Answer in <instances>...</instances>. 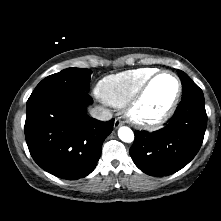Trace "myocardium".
Segmentation results:
<instances>
[{"mask_svg": "<svg viewBox=\"0 0 221 221\" xmlns=\"http://www.w3.org/2000/svg\"><path fill=\"white\" fill-rule=\"evenodd\" d=\"M170 75L176 81L177 89L176 93L168 105V107L159 115L155 117H145L139 114V107L144 100L149 88L153 82L161 75ZM182 94V83L179 77L169 70H158L152 74L138 89V91L132 96V98L125 105V113L128 120L135 126L144 129H156L163 125L174 113L180 97Z\"/></svg>", "mask_w": 221, "mask_h": 221, "instance_id": "obj_1", "label": "myocardium"}]
</instances>
